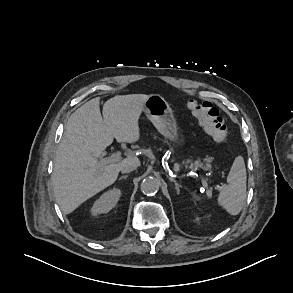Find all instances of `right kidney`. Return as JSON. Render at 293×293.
<instances>
[{
	"label": "right kidney",
	"instance_id": "ca27d5eb",
	"mask_svg": "<svg viewBox=\"0 0 293 293\" xmlns=\"http://www.w3.org/2000/svg\"><path fill=\"white\" fill-rule=\"evenodd\" d=\"M121 196V191L119 189H112L100 196V198L95 201L93 207L91 208V213L93 215L108 213L117 204Z\"/></svg>",
	"mask_w": 293,
	"mask_h": 293
}]
</instances>
